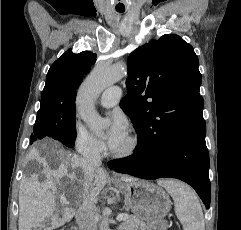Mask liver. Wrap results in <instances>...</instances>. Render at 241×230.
<instances>
[{
    "label": "liver",
    "instance_id": "6515ba94",
    "mask_svg": "<svg viewBox=\"0 0 241 230\" xmlns=\"http://www.w3.org/2000/svg\"><path fill=\"white\" fill-rule=\"evenodd\" d=\"M42 150L32 148L27 156V160L36 161L37 170L29 177H23L20 184L19 230H36L47 219H51L53 227L63 224L55 214L56 196L48 189L47 181L54 180L59 185L62 178H68L73 188L64 189L66 197L76 203L83 201L86 196L96 202L107 182L106 172L97 167L93 174L94 180L87 187L81 171L79 173L83 158L56 145L42 147ZM121 179L124 182L137 181L130 176H122Z\"/></svg>",
    "mask_w": 241,
    "mask_h": 230
}]
</instances>
